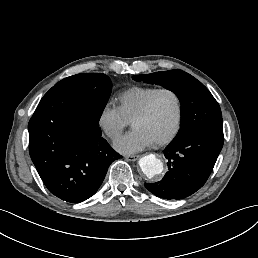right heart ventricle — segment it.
Masks as SVG:
<instances>
[{"mask_svg": "<svg viewBox=\"0 0 258 258\" xmlns=\"http://www.w3.org/2000/svg\"><path fill=\"white\" fill-rule=\"evenodd\" d=\"M157 90L159 89L151 86L132 87L120 94L117 108L128 123L134 124L138 122Z\"/></svg>", "mask_w": 258, "mask_h": 258, "instance_id": "1", "label": "right heart ventricle"}]
</instances>
